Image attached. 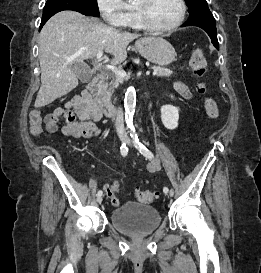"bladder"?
Instances as JSON below:
<instances>
[{
	"label": "bladder",
	"instance_id": "31cf9c89",
	"mask_svg": "<svg viewBox=\"0 0 261 273\" xmlns=\"http://www.w3.org/2000/svg\"><path fill=\"white\" fill-rule=\"evenodd\" d=\"M109 219L117 230L132 235L152 233L161 223V216L155 207L135 202L119 205L111 212Z\"/></svg>",
	"mask_w": 261,
	"mask_h": 273
}]
</instances>
